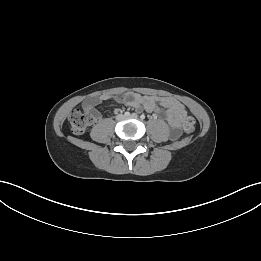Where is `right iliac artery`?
Wrapping results in <instances>:
<instances>
[{
    "label": "right iliac artery",
    "mask_w": 261,
    "mask_h": 261,
    "mask_svg": "<svg viewBox=\"0 0 261 261\" xmlns=\"http://www.w3.org/2000/svg\"><path fill=\"white\" fill-rule=\"evenodd\" d=\"M124 115L128 117L130 115V112L127 111L124 113Z\"/></svg>",
    "instance_id": "right-iliac-artery-1"
}]
</instances>
